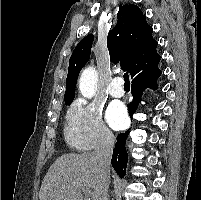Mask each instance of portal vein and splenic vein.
<instances>
[{"label":"portal vein and splenic vein","mask_w":201,"mask_h":200,"mask_svg":"<svg viewBox=\"0 0 201 200\" xmlns=\"http://www.w3.org/2000/svg\"><path fill=\"white\" fill-rule=\"evenodd\" d=\"M82 191L84 192L85 197L89 198L88 200H90L91 192L89 191V189L83 187Z\"/></svg>","instance_id":"1"}]
</instances>
